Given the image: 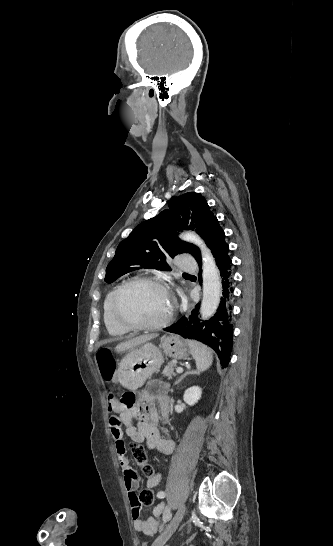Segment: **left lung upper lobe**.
<instances>
[{"label":"left lung upper lobe","mask_w":333,"mask_h":546,"mask_svg":"<svg viewBox=\"0 0 333 546\" xmlns=\"http://www.w3.org/2000/svg\"><path fill=\"white\" fill-rule=\"evenodd\" d=\"M169 208L138 225L120 242L106 268L107 283L142 268L171 271L167 262L170 257L181 253L195 257L199 253L198 247L181 241L176 231L195 230L206 242L217 220L207 201L197 193L188 192L171 200Z\"/></svg>","instance_id":"5c2ea615"}]
</instances>
